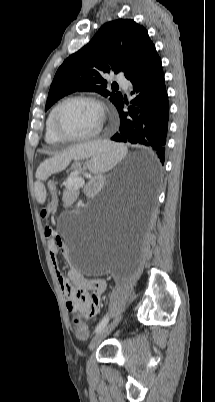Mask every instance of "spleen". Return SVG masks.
Instances as JSON below:
<instances>
[{"label":"spleen","instance_id":"3e777b00","mask_svg":"<svg viewBox=\"0 0 215 402\" xmlns=\"http://www.w3.org/2000/svg\"><path fill=\"white\" fill-rule=\"evenodd\" d=\"M126 152L127 148L125 146L106 140L80 144L71 148L60 157H55L42 163L37 170V178L45 180L52 173L63 170L72 159H82L85 157H91L86 166L90 172L97 175L99 170L104 172L111 168ZM45 190V185H38L36 194L39 196V202H44L43 196H45Z\"/></svg>","mask_w":215,"mask_h":402}]
</instances>
